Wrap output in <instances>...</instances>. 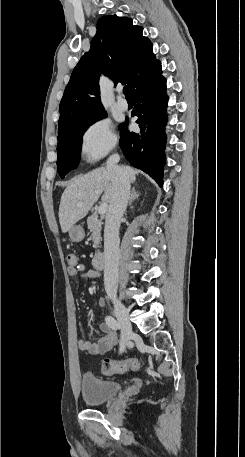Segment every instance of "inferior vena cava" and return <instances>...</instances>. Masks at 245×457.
Instances as JSON below:
<instances>
[{"mask_svg":"<svg viewBox=\"0 0 245 457\" xmlns=\"http://www.w3.org/2000/svg\"><path fill=\"white\" fill-rule=\"evenodd\" d=\"M119 154H111L106 164L114 186L112 200L106 214L104 229V285L108 295H116L119 283V226L126 210L130 194V180L127 172L118 166Z\"/></svg>","mask_w":245,"mask_h":457,"instance_id":"1","label":"inferior vena cava"}]
</instances>
